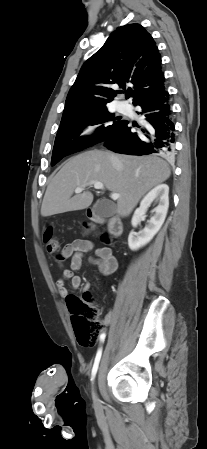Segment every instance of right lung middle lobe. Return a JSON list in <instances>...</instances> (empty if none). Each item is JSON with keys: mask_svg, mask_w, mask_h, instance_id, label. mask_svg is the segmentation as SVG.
<instances>
[{"mask_svg": "<svg viewBox=\"0 0 207 449\" xmlns=\"http://www.w3.org/2000/svg\"><path fill=\"white\" fill-rule=\"evenodd\" d=\"M113 121L109 125H101L92 137H79L87 125L102 124ZM123 121L106 109H101L81 115L67 117L61 120L52 153L51 165L54 166L63 157L79 152L96 143L105 141Z\"/></svg>", "mask_w": 207, "mask_h": 449, "instance_id": "1", "label": "right lung middle lobe"}]
</instances>
